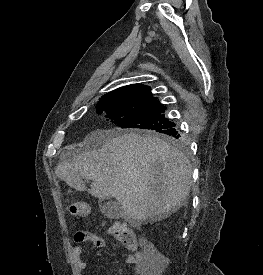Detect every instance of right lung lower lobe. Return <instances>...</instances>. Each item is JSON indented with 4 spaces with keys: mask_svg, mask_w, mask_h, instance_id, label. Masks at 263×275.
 I'll use <instances>...</instances> for the list:
<instances>
[{
    "mask_svg": "<svg viewBox=\"0 0 263 275\" xmlns=\"http://www.w3.org/2000/svg\"><path fill=\"white\" fill-rule=\"evenodd\" d=\"M162 133H163V134L175 135L176 137H179V136H180L178 130H177L176 127H175V125L172 126V127H169V128L166 129V130H163Z\"/></svg>",
    "mask_w": 263,
    "mask_h": 275,
    "instance_id": "obj_1",
    "label": "right lung lower lobe"
}]
</instances>
